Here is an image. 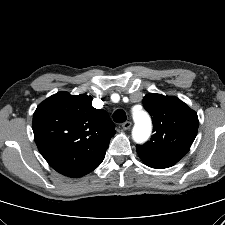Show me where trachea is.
I'll list each match as a JSON object with an SVG mask.
<instances>
[{
    "label": "trachea",
    "mask_w": 225,
    "mask_h": 225,
    "mask_svg": "<svg viewBox=\"0 0 225 225\" xmlns=\"http://www.w3.org/2000/svg\"><path fill=\"white\" fill-rule=\"evenodd\" d=\"M127 119L126 117V113L124 112V110L122 109H118L114 112L113 114V120L116 122V123H123L125 122Z\"/></svg>",
    "instance_id": "1"
}]
</instances>
